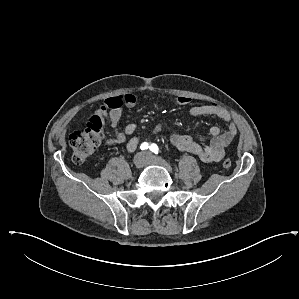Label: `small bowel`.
Returning a JSON list of instances; mask_svg holds the SVG:
<instances>
[{
	"label": "small bowel",
	"instance_id": "c3829d8e",
	"mask_svg": "<svg viewBox=\"0 0 299 299\" xmlns=\"http://www.w3.org/2000/svg\"><path fill=\"white\" fill-rule=\"evenodd\" d=\"M137 101L138 99L135 94L126 93L105 99L95 110L94 115L105 119L111 127L113 133L112 141L114 143H124L126 142L127 136L136 133L137 126L133 123L126 125L123 132H120L117 126L122 116L123 107H134ZM172 102L177 106H186L190 104L191 99L185 96H178L174 98ZM187 114L191 117L214 116L227 123V127L223 132H221L217 126L211 127L209 130L210 142L206 145L199 144L190 135L177 133L170 136L171 145L180 151H186L197 156L204 162L221 161L225 155V148L232 142L237 134V127L235 123L231 121L229 112L217 104H206L191 106L187 110ZM153 131L154 133H160L162 131V125L156 123ZM139 142L140 139L138 136L134 135L131 137L126 143L127 151L134 152Z\"/></svg>",
	"mask_w": 299,
	"mask_h": 299
}]
</instances>
